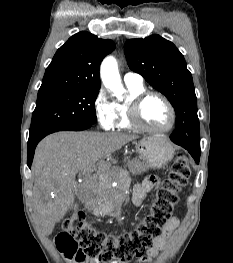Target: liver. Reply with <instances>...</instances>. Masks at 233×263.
I'll use <instances>...</instances> for the list:
<instances>
[{
  "instance_id": "liver-1",
  "label": "liver",
  "mask_w": 233,
  "mask_h": 263,
  "mask_svg": "<svg viewBox=\"0 0 233 263\" xmlns=\"http://www.w3.org/2000/svg\"><path fill=\"white\" fill-rule=\"evenodd\" d=\"M137 138V135L121 132H57L38 144L32 165L33 194L45 235L53 232L56 223L74 204L76 175L95 168L102 179L109 181L110 163L105 160Z\"/></svg>"
}]
</instances>
